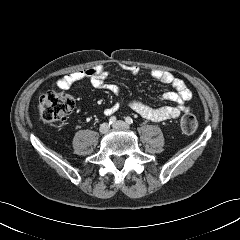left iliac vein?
<instances>
[{
    "label": "left iliac vein",
    "instance_id": "obj_1",
    "mask_svg": "<svg viewBox=\"0 0 240 240\" xmlns=\"http://www.w3.org/2000/svg\"><path fill=\"white\" fill-rule=\"evenodd\" d=\"M114 128L129 129V126L123 121H117L113 124Z\"/></svg>",
    "mask_w": 240,
    "mask_h": 240
}]
</instances>
